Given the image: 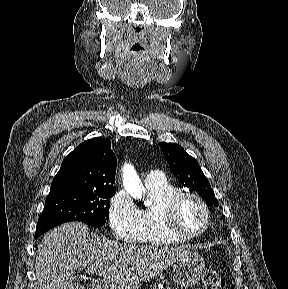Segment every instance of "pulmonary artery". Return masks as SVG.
Here are the masks:
<instances>
[{
    "label": "pulmonary artery",
    "mask_w": 288,
    "mask_h": 289,
    "mask_svg": "<svg viewBox=\"0 0 288 289\" xmlns=\"http://www.w3.org/2000/svg\"><path fill=\"white\" fill-rule=\"evenodd\" d=\"M166 181L165 175L160 170H152L147 173L144 182L147 186L161 185Z\"/></svg>",
    "instance_id": "pulmonary-artery-1"
}]
</instances>
